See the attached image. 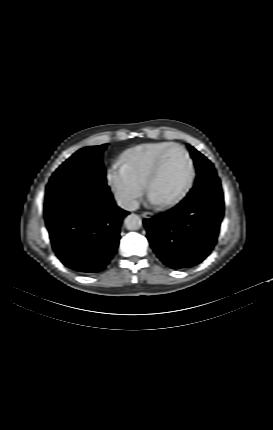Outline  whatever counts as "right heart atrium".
Wrapping results in <instances>:
<instances>
[{
	"label": "right heart atrium",
	"mask_w": 273,
	"mask_h": 430,
	"mask_svg": "<svg viewBox=\"0 0 273 430\" xmlns=\"http://www.w3.org/2000/svg\"><path fill=\"white\" fill-rule=\"evenodd\" d=\"M107 179L117 203L124 209L134 208L143 192L144 184L132 177L119 162L110 165Z\"/></svg>",
	"instance_id": "d8ad5b80"
}]
</instances>
